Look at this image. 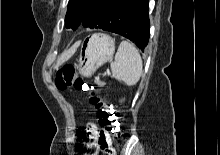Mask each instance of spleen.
I'll list each match as a JSON object with an SVG mask.
<instances>
[{
	"label": "spleen",
	"mask_w": 220,
	"mask_h": 155,
	"mask_svg": "<svg viewBox=\"0 0 220 155\" xmlns=\"http://www.w3.org/2000/svg\"><path fill=\"white\" fill-rule=\"evenodd\" d=\"M113 78L127 86L135 85L142 75V59L133 44L123 40L111 63Z\"/></svg>",
	"instance_id": "spleen-1"
}]
</instances>
